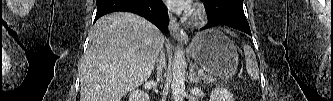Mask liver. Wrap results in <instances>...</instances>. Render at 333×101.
Returning a JSON list of instances; mask_svg holds the SVG:
<instances>
[{"label":"liver","instance_id":"1","mask_svg":"<svg viewBox=\"0 0 333 101\" xmlns=\"http://www.w3.org/2000/svg\"><path fill=\"white\" fill-rule=\"evenodd\" d=\"M164 41L138 15L116 12L99 19L81 63L80 101H120L150 77Z\"/></svg>","mask_w":333,"mask_h":101}]
</instances>
